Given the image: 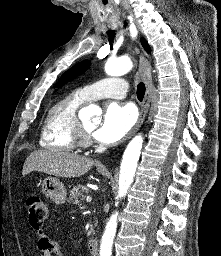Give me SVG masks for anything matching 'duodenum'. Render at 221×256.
I'll list each match as a JSON object with an SVG mask.
<instances>
[{"label": "duodenum", "mask_w": 221, "mask_h": 256, "mask_svg": "<svg viewBox=\"0 0 221 256\" xmlns=\"http://www.w3.org/2000/svg\"><path fill=\"white\" fill-rule=\"evenodd\" d=\"M98 247H99V244L96 239L92 238L88 241V249L93 256L98 255Z\"/></svg>", "instance_id": "410a0bca"}]
</instances>
